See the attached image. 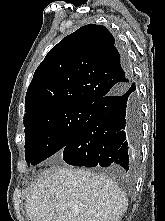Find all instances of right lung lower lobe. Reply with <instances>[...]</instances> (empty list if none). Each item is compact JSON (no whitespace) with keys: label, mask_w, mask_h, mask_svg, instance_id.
<instances>
[{"label":"right lung lower lobe","mask_w":165,"mask_h":221,"mask_svg":"<svg viewBox=\"0 0 165 221\" xmlns=\"http://www.w3.org/2000/svg\"><path fill=\"white\" fill-rule=\"evenodd\" d=\"M140 137V105L131 81L94 102L89 119L62 150L63 159L73 166L119 165L128 172Z\"/></svg>","instance_id":"right-lung-lower-lobe-1"}]
</instances>
